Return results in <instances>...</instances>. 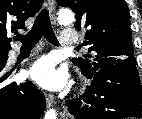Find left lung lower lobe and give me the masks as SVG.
<instances>
[{
	"instance_id": "obj_1",
	"label": "left lung lower lobe",
	"mask_w": 142,
	"mask_h": 119,
	"mask_svg": "<svg viewBox=\"0 0 142 119\" xmlns=\"http://www.w3.org/2000/svg\"><path fill=\"white\" fill-rule=\"evenodd\" d=\"M83 74L93 80L83 97L67 102L68 111L75 119L142 117V87L136 63L113 64Z\"/></svg>"
}]
</instances>
